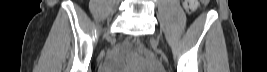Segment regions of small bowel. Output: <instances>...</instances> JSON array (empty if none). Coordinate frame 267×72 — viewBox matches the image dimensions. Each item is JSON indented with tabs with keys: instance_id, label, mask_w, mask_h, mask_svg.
<instances>
[{
	"instance_id": "1",
	"label": "small bowel",
	"mask_w": 267,
	"mask_h": 72,
	"mask_svg": "<svg viewBox=\"0 0 267 72\" xmlns=\"http://www.w3.org/2000/svg\"><path fill=\"white\" fill-rule=\"evenodd\" d=\"M184 7L187 11L194 12L197 9L198 4L196 0H186L184 1Z\"/></svg>"
}]
</instances>
